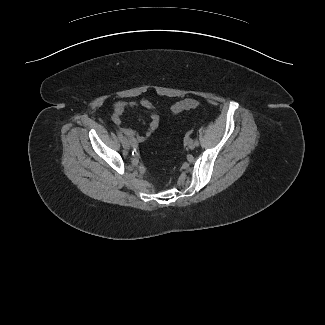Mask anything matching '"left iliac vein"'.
I'll use <instances>...</instances> for the list:
<instances>
[{
	"label": "left iliac vein",
	"mask_w": 325,
	"mask_h": 325,
	"mask_svg": "<svg viewBox=\"0 0 325 325\" xmlns=\"http://www.w3.org/2000/svg\"><path fill=\"white\" fill-rule=\"evenodd\" d=\"M188 148L189 149H194L195 148V142L192 139H189L187 142Z\"/></svg>",
	"instance_id": "1"
}]
</instances>
